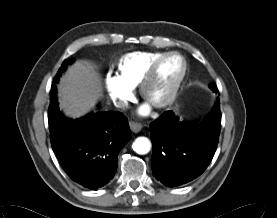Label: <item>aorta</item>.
Masks as SVG:
<instances>
[{
  "label": "aorta",
  "instance_id": "762f6f07",
  "mask_svg": "<svg viewBox=\"0 0 277 218\" xmlns=\"http://www.w3.org/2000/svg\"><path fill=\"white\" fill-rule=\"evenodd\" d=\"M133 150L140 155L147 154L151 149V143L146 137H138L132 144Z\"/></svg>",
  "mask_w": 277,
  "mask_h": 218
}]
</instances>
